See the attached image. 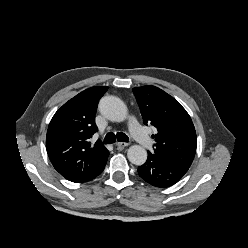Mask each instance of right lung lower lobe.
Wrapping results in <instances>:
<instances>
[{"instance_id": "98d812e1", "label": "right lung lower lobe", "mask_w": 248, "mask_h": 248, "mask_svg": "<svg viewBox=\"0 0 248 248\" xmlns=\"http://www.w3.org/2000/svg\"><path fill=\"white\" fill-rule=\"evenodd\" d=\"M108 159V157H107ZM107 159L103 162V164L90 176L88 177L86 180H84L83 182H87L93 178H95L96 176H98L99 174L102 173V171L104 170V167L106 165Z\"/></svg>"}]
</instances>
